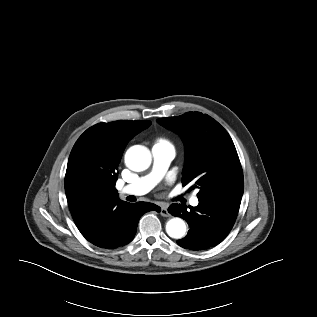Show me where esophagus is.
I'll return each mask as SVG.
<instances>
[{"mask_svg":"<svg viewBox=\"0 0 317 317\" xmlns=\"http://www.w3.org/2000/svg\"><path fill=\"white\" fill-rule=\"evenodd\" d=\"M160 214H161L163 217H169V216H170V214H169V212H168V210H167V206H166V205H163V206L161 207V212H160Z\"/></svg>","mask_w":317,"mask_h":317,"instance_id":"1","label":"esophagus"}]
</instances>
